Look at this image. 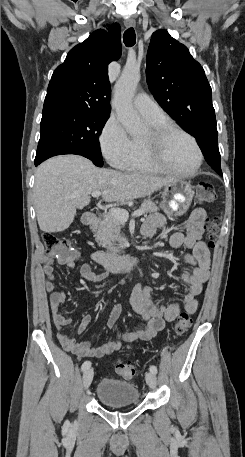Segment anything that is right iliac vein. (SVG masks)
<instances>
[{"mask_svg":"<svg viewBox=\"0 0 245 457\" xmlns=\"http://www.w3.org/2000/svg\"><path fill=\"white\" fill-rule=\"evenodd\" d=\"M93 374H94V370L93 368H89L87 370H85L84 374H83V387L85 390H87L93 380Z\"/></svg>","mask_w":245,"mask_h":457,"instance_id":"right-iliac-vein-1","label":"right iliac vein"}]
</instances>
